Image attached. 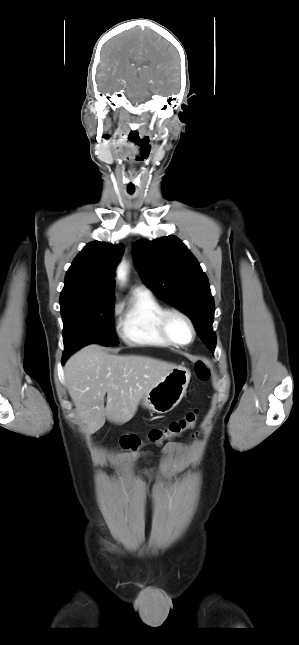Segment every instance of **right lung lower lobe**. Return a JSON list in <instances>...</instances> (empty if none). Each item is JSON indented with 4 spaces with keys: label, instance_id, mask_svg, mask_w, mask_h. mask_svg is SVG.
<instances>
[{
    "label": "right lung lower lobe",
    "instance_id": "right-lung-lower-lobe-1",
    "mask_svg": "<svg viewBox=\"0 0 299 645\" xmlns=\"http://www.w3.org/2000/svg\"><path fill=\"white\" fill-rule=\"evenodd\" d=\"M65 361H66V359H62V363H63V364L65 363Z\"/></svg>",
    "mask_w": 299,
    "mask_h": 645
}]
</instances>
